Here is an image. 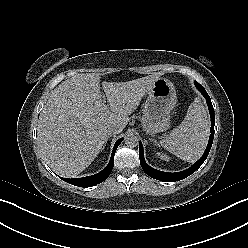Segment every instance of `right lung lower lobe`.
<instances>
[{"mask_svg": "<svg viewBox=\"0 0 248 248\" xmlns=\"http://www.w3.org/2000/svg\"><path fill=\"white\" fill-rule=\"evenodd\" d=\"M122 140H123V138H120L119 140L116 141L114 148H113V151H112L110 162H109L108 166L105 169H103L101 172H99L95 175L87 176V177H83V178H76V179L61 178V179L64 180L65 182H68V183L73 184V185L78 186V187H92L94 185H97V184L103 182L105 179H107V177L110 175V173L113 169L114 155H115V152L117 150V147L120 145Z\"/></svg>", "mask_w": 248, "mask_h": 248, "instance_id": "1", "label": "right lung lower lobe"}]
</instances>
